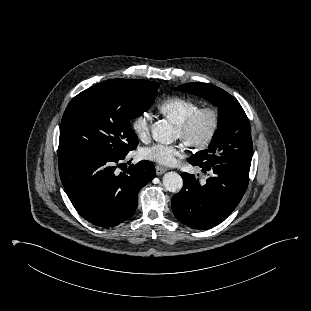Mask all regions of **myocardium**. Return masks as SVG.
I'll return each instance as SVG.
<instances>
[{"label": "myocardium", "instance_id": "f54148a6", "mask_svg": "<svg viewBox=\"0 0 311 311\" xmlns=\"http://www.w3.org/2000/svg\"><path fill=\"white\" fill-rule=\"evenodd\" d=\"M204 117L210 120L209 128L205 135L196 137L194 135L195 128L199 121ZM220 112L212 106L201 107L192 113L184 122L177 126L180 133V139L187 146L193 149H204L211 144L216 137L220 128Z\"/></svg>", "mask_w": 311, "mask_h": 311}]
</instances>
